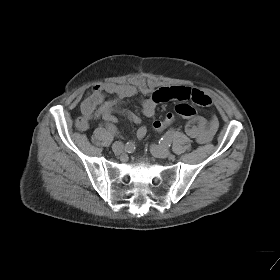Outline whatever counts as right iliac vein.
<instances>
[{
  "label": "right iliac vein",
  "mask_w": 280,
  "mask_h": 280,
  "mask_svg": "<svg viewBox=\"0 0 280 280\" xmlns=\"http://www.w3.org/2000/svg\"><path fill=\"white\" fill-rule=\"evenodd\" d=\"M123 148H124L123 143L119 141L113 143L112 145V150L115 154H120L123 151Z\"/></svg>",
  "instance_id": "1"
}]
</instances>
